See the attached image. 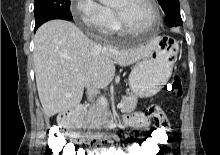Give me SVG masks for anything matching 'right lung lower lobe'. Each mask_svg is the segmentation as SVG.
Masks as SVG:
<instances>
[{"mask_svg":"<svg viewBox=\"0 0 220 155\" xmlns=\"http://www.w3.org/2000/svg\"><path fill=\"white\" fill-rule=\"evenodd\" d=\"M53 19H64V20H68V21L72 20V18H69V17H56V18H53ZM50 20H52V19H50ZM42 24L43 23L36 25L34 30L36 31L38 29V27Z\"/></svg>","mask_w":220,"mask_h":155,"instance_id":"1","label":"right lung lower lobe"}]
</instances>
